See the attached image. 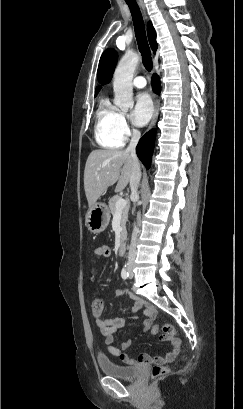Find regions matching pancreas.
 Wrapping results in <instances>:
<instances>
[{"label":"pancreas","instance_id":"cf45deb5","mask_svg":"<svg viewBox=\"0 0 243 409\" xmlns=\"http://www.w3.org/2000/svg\"><path fill=\"white\" fill-rule=\"evenodd\" d=\"M121 197L119 195H115L112 198H110L108 204H109V209L112 215L116 213V202L120 199ZM128 211H129V206H126L121 210V227L123 230H125V224L128 220ZM124 233V231H123Z\"/></svg>","mask_w":243,"mask_h":409}]
</instances>
